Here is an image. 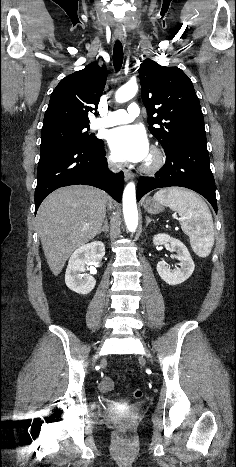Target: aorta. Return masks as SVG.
Instances as JSON below:
<instances>
[{
	"label": "aorta",
	"mask_w": 236,
	"mask_h": 467,
	"mask_svg": "<svg viewBox=\"0 0 236 467\" xmlns=\"http://www.w3.org/2000/svg\"><path fill=\"white\" fill-rule=\"evenodd\" d=\"M138 91L136 81H129L115 93V100L124 103L132 99ZM123 214L126 226L130 232H135L138 226V210L136 204V189L134 182H129L123 191Z\"/></svg>",
	"instance_id": "762f6f07"
}]
</instances>
